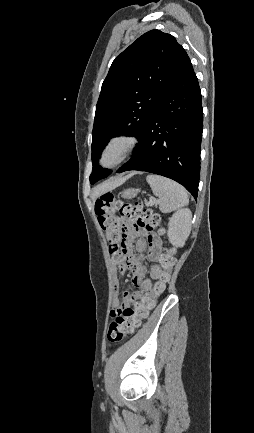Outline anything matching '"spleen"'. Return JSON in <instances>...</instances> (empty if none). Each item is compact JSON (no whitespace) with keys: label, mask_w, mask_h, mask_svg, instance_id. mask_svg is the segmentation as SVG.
<instances>
[{"label":"spleen","mask_w":254,"mask_h":433,"mask_svg":"<svg viewBox=\"0 0 254 433\" xmlns=\"http://www.w3.org/2000/svg\"><path fill=\"white\" fill-rule=\"evenodd\" d=\"M146 180L153 194L159 197L161 212L169 213L188 205V194L177 182L159 175H148Z\"/></svg>","instance_id":"obj_1"}]
</instances>
